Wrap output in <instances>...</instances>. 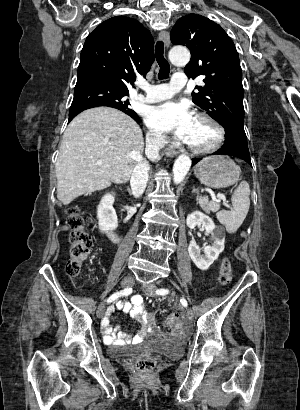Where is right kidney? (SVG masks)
Listing matches in <instances>:
<instances>
[{
    "label": "right kidney",
    "mask_w": 300,
    "mask_h": 410,
    "mask_svg": "<svg viewBox=\"0 0 300 410\" xmlns=\"http://www.w3.org/2000/svg\"><path fill=\"white\" fill-rule=\"evenodd\" d=\"M113 203L114 196L106 194L102 197L97 207L98 224L102 232L115 230L118 227V219Z\"/></svg>",
    "instance_id": "ca27d5eb"
}]
</instances>
